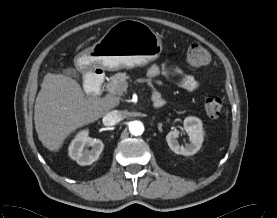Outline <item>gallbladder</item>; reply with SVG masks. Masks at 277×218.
Listing matches in <instances>:
<instances>
[{
    "mask_svg": "<svg viewBox=\"0 0 277 218\" xmlns=\"http://www.w3.org/2000/svg\"><path fill=\"white\" fill-rule=\"evenodd\" d=\"M64 75H67L69 77L78 78L79 74L74 68H67L63 70Z\"/></svg>",
    "mask_w": 277,
    "mask_h": 218,
    "instance_id": "obj_1",
    "label": "gallbladder"
}]
</instances>
